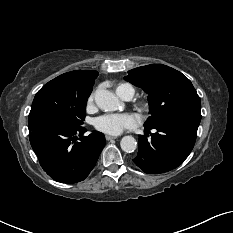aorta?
I'll return each instance as SVG.
<instances>
[{"instance_id": "1", "label": "aorta", "mask_w": 233, "mask_h": 233, "mask_svg": "<svg viewBox=\"0 0 233 233\" xmlns=\"http://www.w3.org/2000/svg\"><path fill=\"white\" fill-rule=\"evenodd\" d=\"M96 105L103 111H115L121 106V102L112 92L105 89L97 90L94 96ZM121 149L126 153H132L137 148V142L132 136H124L120 142Z\"/></svg>"}]
</instances>
